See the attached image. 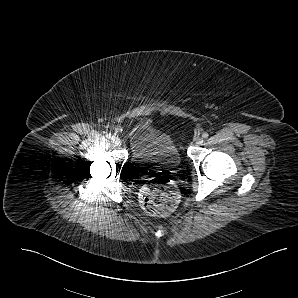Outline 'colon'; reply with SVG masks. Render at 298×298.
Listing matches in <instances>:
<instances>
[{"label": "colon", "mask_w": 298, "mask_h": 298, "mask_svg": "<svg viewBox=\"0 0 298 298\" xmlns=\"http://www.w3.org/2000/svg\"><path fill=\"white\" fill-rule=\"evenodd\" d=\"M179 199L176 186L172 180L164 176L149 180L139 195L143 210L154 216H166L172 213L177 208Z\"/></svg>", "instance_id": "colon-1"}]
</instances>
